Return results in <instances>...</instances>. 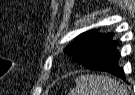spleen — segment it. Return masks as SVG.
Segmentation results:
<instances>
[{"label":"spleen","instance_id":"1","mask_svg":"<svg viewBox=\"0 0 135 95\" xmlns=\"http://www.w3.org/2000/svg\"><path fill=\"white\" fill-rule=\"evenodd\" d=\"M127 89L115 79L101 75H81L69 95H128Z\"/></svg>","mask_w":135,"mask_h":95}]
</instances>
